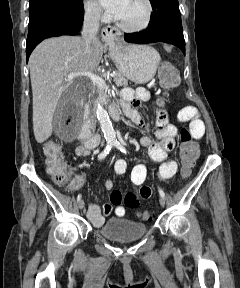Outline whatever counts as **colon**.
Returning a JSON list of instances; mask_svg holds the SVG:
<instances>
[{
	"label": "colon",
	"mask_w": 240,
	"mask_h": 288,
	"mask_svg": "<svg viewBox=\"0 0 240 288\" xmlns=\"http://www.w3.org/2000/svg\"><path fill=\"white\" fill-rule=\"evenodd\" d=\"M179 72L170 63H162L159 68L160 85L169 90L178 84ZM45 164L47 173L57 185H65L68 182L69 174L61 153L60 146L54 142H46L43 146ZM198 147L188 130L181 131L180 158L182 162V174L187 177L198 158ZM124 203L127 207H137V196L129 192L124 197ZM136 216L145 221H151L155 213L150 210H138Z\"/></svg>",
	"instance_id": "5ec220e1"
}]
</instances>
